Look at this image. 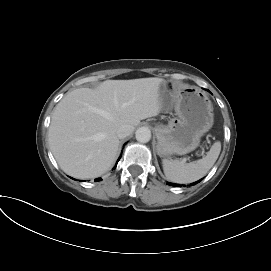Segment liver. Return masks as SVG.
<instances>
[{"instance_id": "6515ba94", "label": "liver", "mask_w": 271, "mask_h": 271, "mask_svg": "<svg viewBox=\"0 0 271 271\" xmlns=\"http://www.w3.org/2000/svg\"><path fill=\"white\" fill-rule=\"evenodd\" d=\"M164 82L161 78L106 80L97 89L69 92L56 106L48 131L60 168L79 179L107 172L118 152L117 129L129 125L133 132L141 120L157 116Z\"/></svg>"}]
</instances>
